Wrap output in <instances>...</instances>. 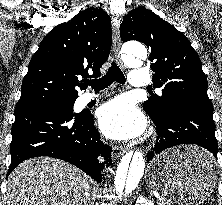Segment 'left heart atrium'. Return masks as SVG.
Wrapping results in <instances>:
<instances>
[{
  "label": "left heart atrium",
  "mask_w": 222,
  "mask_h": 205,
  "mask_svg": "<svg viewBox=\"0 0 222 205\" xmlns=\"http://www.w3.org/2000/svg\"><path fill=\"white\" fill-rule=\"evenodd\" d=\"M98 123L106 136L121 140L140 136L146 126L143 114L125 97L104 104L98 111Z\"/></svg>",
  "instance_id": "obj_1"
}]
</instances>
